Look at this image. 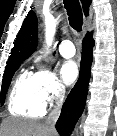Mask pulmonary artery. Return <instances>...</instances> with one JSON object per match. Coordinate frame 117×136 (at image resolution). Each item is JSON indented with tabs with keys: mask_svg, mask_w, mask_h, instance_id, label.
Wrapping results in <instances>:
<instances>
[{
	"mask_svg": "<svg viewBox=\"0 0 117 136\" xmlns=\"http://www.w3.org/2000/svg\"><path fill=\"white\" fill-rule=\"evenodd\" d=\"M60 54L65 58H71L75 55V47L71 40H63L59 47Z\"/></svg>",
	"mask_w": 117,
	"mask_h": 136,
	"instance_id": "pulmonary-artery-1",
	"label": "pulmonary artery"
}]
</instances>
